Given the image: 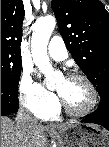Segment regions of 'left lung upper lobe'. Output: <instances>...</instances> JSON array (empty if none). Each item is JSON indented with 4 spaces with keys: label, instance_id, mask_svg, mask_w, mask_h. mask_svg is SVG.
Instances as JSON below:
<instances>
[{
    "label": "left lung upper lobe",
    "instance_id": "1",
    "mask_svg": "<svg viewBox=\"0 0 109 147\" xmlns=\"http://www.w3.org/2000/svg\"><path fill=\"white\" fill-rule=\"evenodd\" d=\"M68 51L96 87L109 92V13L99 0H52Z\"/></svg>",
    "mask_w": 109,
    "mask_h": 147
}]
</instances>
